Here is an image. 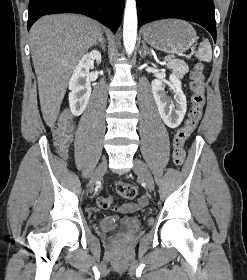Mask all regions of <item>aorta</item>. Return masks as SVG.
Returning <instances> with one entry per match:
<instances>
[{
  "mask_svg": "<svg viewBox=\"0 0 247 280\" xmlns=\"http://www.w3.org/2000/svg\"><path fill=\"white\" fill-rule=\"evenodd\" d=\"M137 39V9L135 0H126L123 23V42L126 53L131 55Z\"/></svg>",
  "mask_w": 247,
  "mask_h": 280,
  "instance_id": "762f6f07",
  "label": "aorta"
}]
</instances>
